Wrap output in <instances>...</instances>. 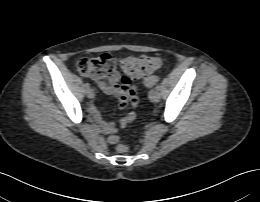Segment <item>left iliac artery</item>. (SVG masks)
Wrapping results in <instances>:
<instances>
[{
    "label": "left iliac artery",
    "instance_id": "1",
    "mask_svg": "<svg viewBox=\"0 0 260 202\" xmlns=\"http://www.w3.org/2000/svg\"><path fill=\"white\" fill-rule=\"evenodd\" d=\"M155 90L159 91V90H160V85H157V86L155 87Z\"/></svg>",
    "mask_w": 260,
    "mask_h": 202
}]
</instances>
